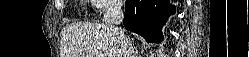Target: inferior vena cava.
<instances>
[{
	"instance_id": "1",
	"label": "inferior vena cava",
	"mask_w": 249,
	"mask_h": 57,
	"mask_svg": "<svg viewBox=\"0 0 249 57\" xmlns=\"http://www.w3.org/2000/svg\"><path fill=\"white\" fill-rule=\"evenodd\" d=\"M124 3L122 1H115L110 4L109 8L104 14L105 26L116 35L120 51L122 52V57H135L134 48L130 40L124 35L122 30L118 28L124 17L123 10Z\"/></svg>"
}]
</instances>
